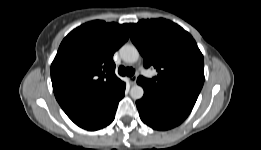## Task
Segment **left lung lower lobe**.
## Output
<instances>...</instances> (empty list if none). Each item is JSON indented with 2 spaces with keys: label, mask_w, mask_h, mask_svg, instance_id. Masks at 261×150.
Wrapping results in <instances>:
<instances>
[{
  "label": "left lung lower lobe",
  "mask_w": 261,
  "mask_h": 150,
  "mask_svg": "<svg viewBox=\"0 0 261 150\" xmlns=\"http://www.w3.org/2000/svg\"><path fill=\"white\" fill-rule=\"evenodd\" d=\"M138 82V80H137ZM144 96L136 101L141 120L157 130H168L182 123L190 114L196 99L144 86Z\"/></svg>",
  "instance_id": "0a47b994"
}]
</instances>
